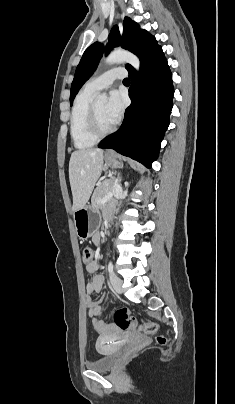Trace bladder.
Here are the masks:
<instances>
[{
  "instance_id": "bladder-1",
  "label": "bladder",
  "mask_w": 235,
  "mask_h": 404,
  "mask_svg": "<svg viewBox=\"0 0 235 404\" xmlns=\"http://www.w3.org/2000/svg\"><path fill=\"white\" fill-rule=\"evenodd\" d=\"M97 350L99 353L102 354V356L95 361L87 362L85 364L86 367L96 372L110 371L114 367L119 357L120 354L119 350L114 352H105L103 348H100V345H98Z\"/></svg>"
}]
</instances>
